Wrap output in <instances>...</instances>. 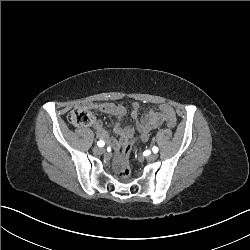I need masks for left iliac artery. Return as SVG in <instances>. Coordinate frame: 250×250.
Here are the masks:
<instances>
[{
	"label": "left iliac artery",
	"instance_id": "obj_1",
	"mask_svg": "<svg viewBox=\"0 0 250 250\" xmlns=\"http://www.w3.org/2000/svg\"><path fill=\"white\" fill-rule=\"evenodd\" d=\"M152 150H153L154 153H157V152H158V148H157L156 146H154V147L152 148Z\"/></svg>",
	"mask_w": 250,
	"mask_h": 250
}]
</instances>
